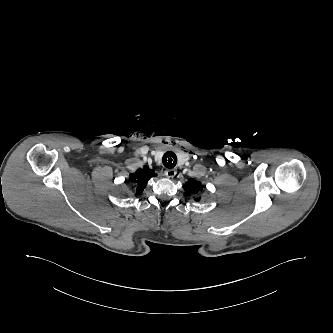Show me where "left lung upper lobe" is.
<instances>
[{"label": "left lung upper lobe", "instance_id": "5c2ea615", "mask_svg": "<svg viewBox=\"0 0 333 333\" xmlns=\"http://www.w3.org/2000/svg\"><path fill=\"white\" fill-rule=\"evenodd\" d=\"M202 184L198 181L195 180H189L184 186L183 189L185 190L186 193L188 194H196L199 191L202 190ZM196 200H199V198H197Z\"/></svg>", "mask_w": 333, "mask_h": 333}]
</instances>
